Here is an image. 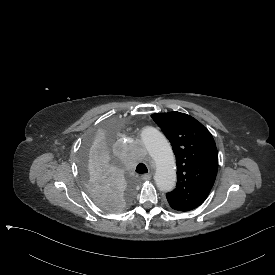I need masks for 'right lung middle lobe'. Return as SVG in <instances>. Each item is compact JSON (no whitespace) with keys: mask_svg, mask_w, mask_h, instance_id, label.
<instances>
[{"mask_svg":"<svg viewBox=\"0 0 275 275\" xmlns=\"http://www.w3.org/2000/svg\"><path fill=\"white\" fill-rule=\"evenodd\" d=\"M121 128L117 118L100 121L79 150V180L94 203L110 213L122 211L135 199L133 180L115 158Z\"/></svg>","mask_w":275,"mask_h":275,"instance_id":"obj_1","label":"right lung middle lobe"}]
</instances>
